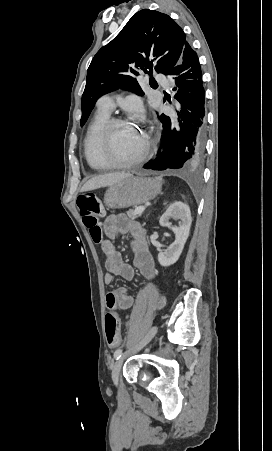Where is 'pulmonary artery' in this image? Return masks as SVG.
I'll return each mask as SVG.
<instances>
[{"mask_svg": "<svg viewBox=\"0 0 272 451\" xmlns=\"http://www.w3.org/2000/svg\"><path fill=\"white\" fill-rule=\"evenodd\" d=\"M157 79L160 81L159 85L161 87L162 92L168 93L171 91V86L169 80H167V75L165 73H160L157 76ZM98 108L111 111L114 107L113 97L110 95H105L98 100L97 103Z\"/></svg>", "mask_w": 272, "mask_h": 451, "instance_id": "1", "label": "pulmonary artery"}]
</instances>
